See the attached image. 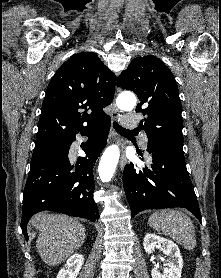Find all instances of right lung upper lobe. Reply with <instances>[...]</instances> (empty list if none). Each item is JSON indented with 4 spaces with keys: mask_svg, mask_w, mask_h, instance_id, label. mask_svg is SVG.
Segmentation results:
<instances>
[{
    "mask_svg": "<svg viewBox=\"0 0 221 278\" xmlns=\"http://www.w3.org/2000/svg\"><path fill=\"white\" fill-rule=\"evenodd\" d=\"M115 84L116 76L95 53L72 56L47 87L35 147L60 141L108 118L103 108L112 102Z\"/></svg>",
    "mask_w": 221,
    "mask_h": 278,
    "instance_id": "right-lung-upper-lobe-1",
    "label": "right lung upper lobe"
}]
</instances>
